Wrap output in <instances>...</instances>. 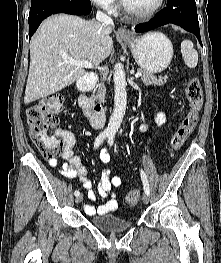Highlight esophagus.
Wrapping results in <instances>:
<instances>
[{"mask_svg":"<svg viewBox=\"0 0 221 263\" xmlns=\"http://www.w3.org/2000/svg\"><path fill=\"white\" fill-rule=\"evenodd\" d=\"M117 35L120 36V37H123V38H130V37H132L131 32L128 29L124 28V27L118 28Z\"/></svg>","mask_w":221,"mask_h":263,"instance_id":"obj_1","label":"esophagus"}]
</instances>
